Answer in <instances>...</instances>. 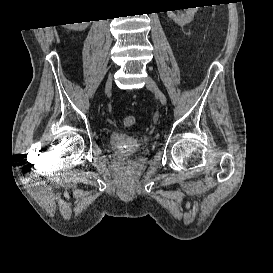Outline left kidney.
<instances>
[{
  "label": "left kidney",
  "instance_id": "5707ae66",
  "mask_svg": "<svg viewBox=\"0 0 273 273\" xmlns=\"http://www.w3.org/2000/svg\"><path fill=\"white\" fill-rule=\"evenodd\" d=\"M198 7L196 8H188L184 9V13L176 14L175 11H167V15L170 19H172L176 24L180 26H184L186 24H189L193 18L195 13L197 12Z\"/></svg>",
  "mask_w": 273,
  "mask_h": 273
}]
</instances>
